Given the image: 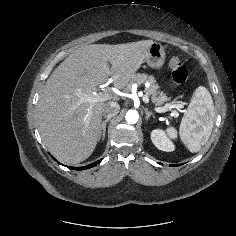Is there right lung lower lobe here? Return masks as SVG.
I'll return each instance as SVG.
<instances>
[{
    "label": "right lung lower lobe",
    "mask_w": 236,
    "mask_h": 236,
    "mask_svg": "<svg viewBox=\"0 0 236 236\" xmlns=\"http://www.w3.org/2000/svg\"><path fill=\"white\" fill-rule=\"evenodd\" d=\"M100 162H101V160H98V161H96V162H94V163H91V164H89V165H87V166H84V167H72V169H73V170H85V169H89V168H91V167L96 166V165L99 164Z\"/></svg>",
    "instance_id": "right-lung-lower-lobe-1"
}]
</instances>
